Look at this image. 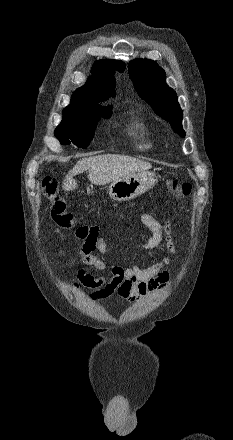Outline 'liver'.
Wrapping results in <instances>:
<instances>
[{
	"label": "liver",
	"instance_id": "obj_1",
	"mask_svg": "<svg viewBox=\"0 0 233 440\" xmlns=\"http://www.w3.org/2000/svg\"><path fill=\"white\" fill-rule=\"evenodd\" d=\"M152 168L148 162L125 155H98L80 159L66 175L62 188L73 191L77 188L74 176L89 170L88 179L95 185H105L134 173Z\"/></svg>",
	"mask_w": 233,
	"mask_h": 440
}]
</instances>
